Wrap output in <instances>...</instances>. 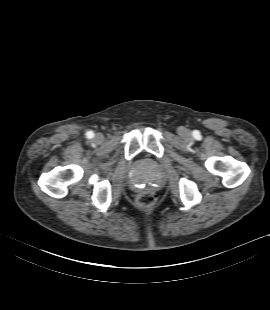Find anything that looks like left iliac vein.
I'll list each match as a JSON object with an SVG mask.
<instances>
[{
    "instance_id": "1",
    "label": "left iliac vein",
    "mask_w": 270,
    "mask_h": 310,
    "mask_svg": "<svg viewBox=\"0 0 270 310\" xmlns=\"http://www.w3.org/2000/svg\"><path fill=\"white\" fill-rule=\"evenodd\" d=\"M179 134L183 139L189 140L191 138V132L188 129H180Z\"/></svg>"
}]
</instances>
